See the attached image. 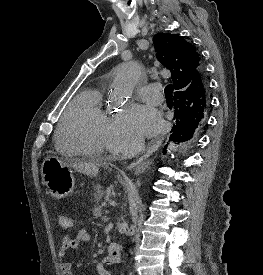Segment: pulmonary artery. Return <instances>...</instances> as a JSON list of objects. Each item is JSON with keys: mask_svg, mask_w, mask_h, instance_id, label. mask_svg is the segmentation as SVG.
<instances>
[{"mask_svg": "<svg viewBox=\"0 0 263 275\" xmlns=\"http://www.w3.org/2000/svg\"><path fill=\"white\" fill-rule=\"evenodd\" d=\"M139 96L147 103L158 105L163 102L161 86L158 83L148 84L138 90Z\"/></svg>", "mask_w": 263, "mask_h": 275, "instance_id": "1", "label": "pulmonary artery"}]
</instances>
